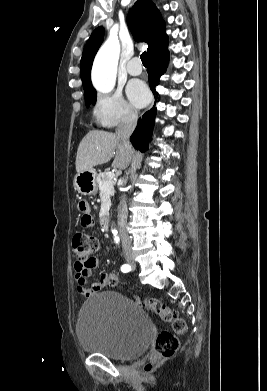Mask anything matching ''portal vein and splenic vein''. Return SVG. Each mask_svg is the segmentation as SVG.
Instances as JSON below:
<instances>
[{
	"label": "portal vein and splenic vein",
	"mask_w": 267,
	"mask_h": 391,
	"mask_svg": "<svg viewBox=\"0 0 267 391\" xmlns=\"http://www.w3.org/2000/svg\"><path fill=\"white\" fill-rule=\"evenodd\" d=\"M107 176L111 177V178H114L115 177V174L113 172H109L107 173Z\"/></svg>",
	"instance_id": "portal-vein-and-splenic-vein-1"
}]
</instances>
